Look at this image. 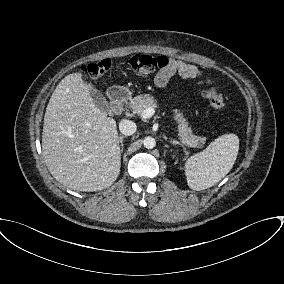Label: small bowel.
Segmentation results:
<instances>
[{"instance_id":"1","label":"small bowel","mask_w":284,"mask_h":284,"mask_svg":"<svg viewBox=\"0 0 284 284\" xmlns=\"http://www.w3.org/2000/svg\"><path fill=\"white\" fill-rule=\"evenodd\" d=\"M177 74L183 78H199L201 71L195 65L181 60L170 59L168 66L160 70L155 76V84L159 87H165Z\"/></svg>"}]
</instances>
